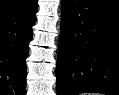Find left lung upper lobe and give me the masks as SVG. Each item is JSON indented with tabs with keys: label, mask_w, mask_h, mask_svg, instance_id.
Listing matches in <instances>:
<instances>
[{
	"label": "left lung upper lobe",
	"mask_w": 119,
	"mask_h": 95,
	"mask_svg": "<svg viewBox=\"0 0 119 95\" xmlns=\"http://www.w3.org/2000/svg\"><path fill=\"white\" fill-rule=\"evenodd\" d=\"M111 1H114V2H117V3H119V0H111Z\"/></svg>",
	"instance_id": "left-lung-upper-lobe-1"
}]
</instances>
